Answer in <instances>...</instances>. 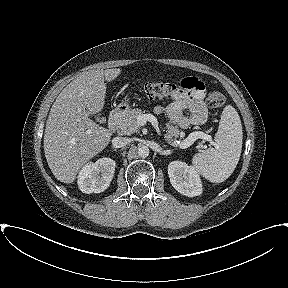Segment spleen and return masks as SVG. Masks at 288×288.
Returning <instances> with one entry per match:
<instances>
[{"label": "spleen", "mask_w": 288, "mask_h": 288, "mask_svg": "<svg viewBox=\"0 0 288 288\" xmlns=\"http://www.w3.org/2000/svg\"><path fill=\"white\" fill-rule=\"evenodd\" d=\"M242 125L237 111L224 108L214 137V147L197 153L192 158L193 168L214 183L225 181L235 170L242 150Z\"/></svg>", "instance_id": "1"}]
</instances>
